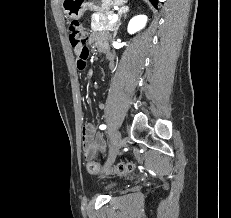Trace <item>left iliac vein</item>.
I'll return each instance as SVG.
<instances>
[{"label": "left iliac vein", "mask_w": 231, "mask_h": 218, "mask_svg": "<svg viewBox=\"0 0 231 218\" xmlns=\"http://www.w3.org/2000/svg\"><path fill=\"white\" fill-rule=\"evenodd\" d=\"M123 145H124V142L122 140L121 133L118 130L114 131L112 135V145L109 150L107 166H110L114 162L116 156L119 153L120 148Z\"/></svg>", "instance_id": "4c4485c4"}]
</instances>
